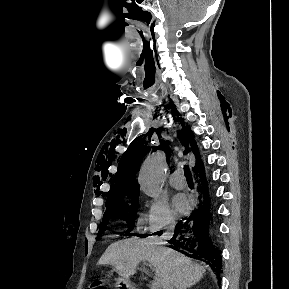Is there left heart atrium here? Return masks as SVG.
Wrapping results in <instances>:
<instances>
[{
    "mask_svg": "<svg viewBox=\"0 0 289 289\" xmlns=\"http://www.w3.org/2000/svg\"><path fill=\"white\" fill-rule=\"evenodd\" d=\"M172 205L174 210L178 214L185 213L188 209V202L183 194H176L172 199Z\"/></svg>",
    "mask_w": 289,
    "mask_h": 289,
    "instance_id": "obj_1",
    "label": "left heart atrium"
}]
</instances>
